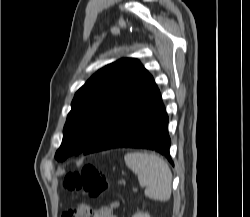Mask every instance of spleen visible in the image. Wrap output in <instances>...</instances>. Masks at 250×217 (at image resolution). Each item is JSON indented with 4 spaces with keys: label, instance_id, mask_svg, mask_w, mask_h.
Returning a JSON list of instances; mask_svg holds the SVG:
<instances>
[{
    "label": "spleen",
    "instance_id": "3e777b00",
    "mask_svg": "<svg viewBox=\"0 0 250 217\" xmlns=\"http://www.w3.org/2000/svg\"><path fill=\"white\" fill-rule=\"evenodd\" d=\"M126 165L138 176L145 187V196L156 201H167L171 196L172 173L168 164L155 154L132 152L124 157Z\"/></svg>",
    "mask_w": 250,
    "mask_h": 217
}]
</instances>
